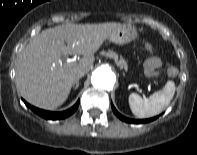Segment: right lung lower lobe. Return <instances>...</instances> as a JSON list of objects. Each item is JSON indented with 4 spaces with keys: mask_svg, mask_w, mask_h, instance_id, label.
Returning <instances> with one entry per match:
<instances>
[{
    "mask_svg": "<svg viewBox=\"0 0 197 155\" xmlns=\"http://www.w3.org/2000/svg\"><path fill=\"white\" fill-rule=\"evenodd\" d=\"M24 103L26 104V106L28 108H30L33 112H35L39 116H41V117H43L45 119L57 120V119L67 118L68 116L72 115L77 110L80 101L78 100L73 107H71L70 109H68L66 111H62V112L45 111V110H41L39 108H36L34 106H31L30 104H28L25 101H24Z\"/></svg>",
    "mask_w": 197,
    "mask_h": 155,
    "instance_id": "right-lung-lower-lobe-1",
    "label": "right lung lower lobe"
}]
</instances>
